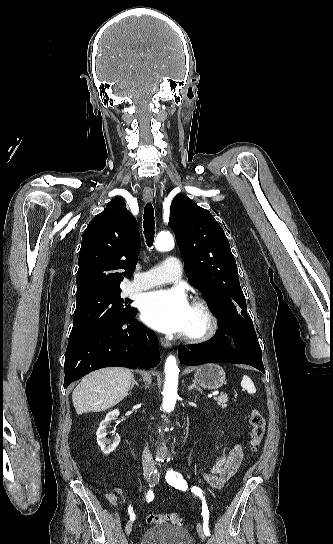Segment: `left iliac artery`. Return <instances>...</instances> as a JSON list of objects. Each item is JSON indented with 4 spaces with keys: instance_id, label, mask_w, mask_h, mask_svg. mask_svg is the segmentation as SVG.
Instances as JSON below:
<instances>
[{
    "instance_id": "obj_1",
    "label": "left iliac artery",
    "mask_w": 333,
    "mask_h": 544,
    "mask_svg": "<svg viewBox=\"0 0 333 544\" xmlns=\"http://www.w3.org/2000/svg\"><path fill=\"white\" fill-rule=\"evenodd\" d=\"M167 483L176 489L186 491L188 488L187 482L183 479L182 475L172 469L168 470L165 475ZM191 492L197 495L202 500V517H203V531L206 536H210V530L208 527L209 511L205 500L203 491L194 486L191 488Z\"/></svg>"
}]
</instances>
